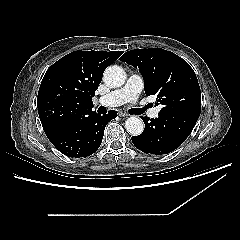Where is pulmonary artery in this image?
<instances>
[{
	"mask_svg": "<svg viewBox=\"0 0 240 240\" xmlns=\"http://www.w3.org/2000/svg\"><path fill=\"white\" fill-rule=\"evenodd\" d=\"M143 89L142 77L138 74H132L127 79L125 85L117 90H114L98 99V103L105 106H117L127 102H135ZM143 111L145 108L140 107ZM159 113V108H153L148 111L150 118H156Z\"/></svg>",
	"mask_w": 240,
	"mask_h": 240,
	"instance_id": "1",
	"label": "pulmonary artery"
}]
</instances>
